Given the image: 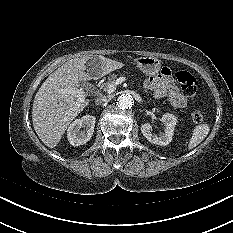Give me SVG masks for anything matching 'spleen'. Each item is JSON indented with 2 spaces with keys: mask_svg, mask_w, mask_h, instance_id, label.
I'll use <instances>...</instances> for the list:
<instances>
[{
  "mask_svg": "<svg viewBox=\"0 0 233 233\" xmlns=\"http://www.w3.org/2000/svg\"><path fill=\"white\" fill-rule=\"evenodd\" d=\"M209 131L210 127L206 123L195 126L193 129L192 137L188 143V150L198 146L207 137Z\"/></svg>",
  "mask_w": 233,
  "mask_h": 233,
  "instance_id": "obj_1",
  "label": "spleen"
}]
</instances>
